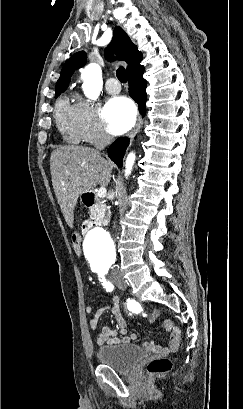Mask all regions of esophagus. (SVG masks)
I'll use <instances>...</instances> for the list:
<instances>
[{
	"instance_id": "esophagus-1",
	"label": "esophagus",
	"mask_w": 243,
	"mask_h": 409,
	"mask_svg": "<svg viewBox=\"0 0 243 409\" xmlns=\"http://www.w3.org/2000/svg\"><path fill=\"white\" fill-rule=\"evenodd\" d=\"M142 122H143L142 117L139 115L135 127L128 133L127 136L130 138L134 137L136 133L140 130Z\"/></svg>"
}]
</instances>
